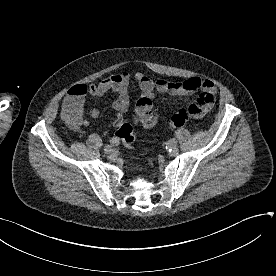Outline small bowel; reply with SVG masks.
Masks as SVG:
<instances>
[{
	"instance_id": "obj_1",
	"label": "small bowel",
	"mask_w": 276,
	"mask_h": 276,
	"mask_svg": "<svg viewBox=\"0 0 276 276\" xmlns=\"http://www.w3.org/2000/svg\"><path fill=\"white\" fill-rule=\"evenodd\" d=\"M134 78L141 90L140 99H152L154 90H157L160 93L178 96H185L200 91L197 101L193 103L199 109L195 118L203 116L213 106L217 91L215 84L211 80L202 77H190L183 81H168L165 79L153 81L142 72H137L134 75ZM130 79L131 75L127 71H123L121 73L107 76L100 82H94L90 85L73 86L64 98L62 105L64 117L65 113L68 111H75L77 115L75 122H70L65 117L68 125L72 129H78L81 125H88V122L82 118L87 95L102 96L107 92H114L117 94V98L113 103V107L116 110V118L114 120V126H116L118 122L122 121L123 113H125L129 107L128 89ZM87 114L91 118H96L99 112L95 108H90L87 111ZM137 114L143 124L147 126L143 121L138 104Z\"/></svg>"
}]
</instances>
